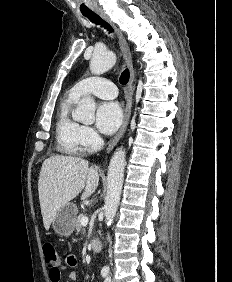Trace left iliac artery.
Returning <instances> with one entry per match:
<instances>
[{"label":"left iliac artery","mask_w":232,"mask_h":282,"mask_svg":"<svg viewBox=\"0 0 232 282\" xmlns=\"http://www.w3.org/2000/svg\"><path fill=\"white\" fill-rule=\"evenodd\" d=\"M105 282H111V278L110 277H107Z\"/></svg>","instance_id":"1"}]
</instances>
